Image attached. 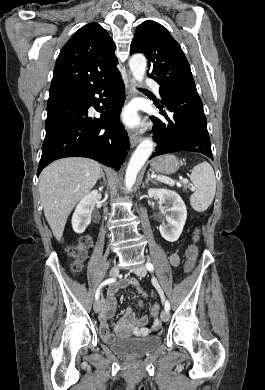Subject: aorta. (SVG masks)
<instances>
[{
  "label": "aorta",
  "mask_w": 265,
  "mask_h": 390,
  "mask_svg": "<svg viewBox=\"0 0 265 390\" xmlns=\"http://www.w3.org/2000/svg\"><path fill=\"white\" fill-rule=\"evenodd\" d=\"M130 70L133 77L139 83H142L146 73L147 61L143 54H134L129 60ZM153 151V141L150 139L143 140L133 153L125 174V187L129 191L134 185L137 174L145 164Z\"/></svg>",
  "instance_id": "762f6f07"
}]
</instances>
